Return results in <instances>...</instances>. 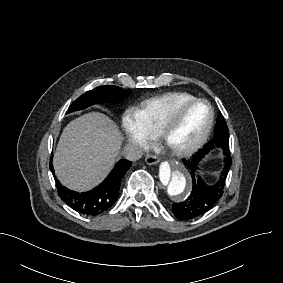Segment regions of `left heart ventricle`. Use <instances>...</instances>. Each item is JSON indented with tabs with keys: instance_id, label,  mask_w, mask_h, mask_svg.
<instances>
[{
	"instance_id": "b2bd125f",
	"label": "left heart ventricle",
	"mask_w": 283,
	"mask_h": 283,
	"mask_svg": "<svg viewBox=\"0 0 283 283\" xmlns=\"http://www.w3.org/2000/svg\"><path fill=\"white\" fill-rule=\"evenodd\" d=\"M168 146L180 150L192 145L200 136L209 120L206 104L198 103L186 108L168 105L165 110Z\"/></svg>"
}]
</instances>
